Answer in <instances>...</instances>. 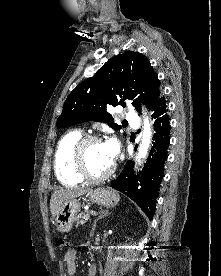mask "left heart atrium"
I'll use <instances>...</instances> for the list:
<instances>
[{
	"label": "left heart atrium",
	"instance_id": "left-heart-atrium-1",
	"mask_svg": "<svg viewBox=\"0 0 221 276\" xmlns=\"http://www.w3.org/2000/svg\"><path fill=\"white\" fill-rule=\"evenodd\" d=\"M104 147L106 149L107 154L110 156L112 160L116 157L118 153V144L116 140L110 139L104 143Z\"/></svg>",
	"mask_w": 221,
	"mask_h": 276
}]
</instances>
